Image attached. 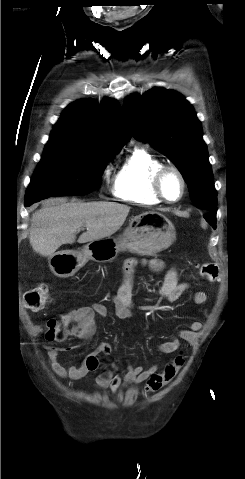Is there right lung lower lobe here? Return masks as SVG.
<instances>
[{"mask_svg": "<svg viewBox=\"0 0 245 479\" xmlns=\"http://www.w3.org/2000/svg\"><path fill=\"white\" fill-rule=\"evenodd\" d=\"M34 202H36V201H26L25 206L28 207V206L32 205Z\"/></svg>", "mask_w": 245, "mask_h": 479, "instance_id": "right-lung-lower-lobe-1", "label": "right lung lower lobe"}]
</instances>
